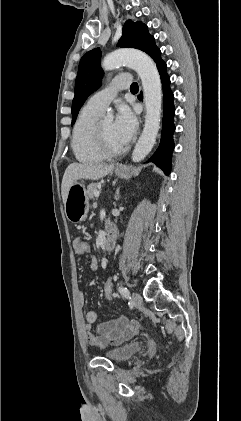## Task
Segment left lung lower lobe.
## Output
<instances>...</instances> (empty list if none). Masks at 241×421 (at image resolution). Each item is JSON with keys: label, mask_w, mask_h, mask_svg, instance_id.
Listing matches in <instances>:
<instances>
[{"label": "left lung lower lobe", "mask_w": 241, "mask_h": 421, "mask_svg": "<svg viewBox=\"0 0 241 421\" xmlns=\"http://www.w3.org/2000/svg\"><path fill=\"white\" fill-rule=\"evenodd\" d=\"M148 55H150L156 62L162 87H163V120H162V133L161 141L158 149L149 159V161L154 162L158 167H160L166 175L170 173L171 168V154L174 149L173 142V132L175 131V126L173 123V117L175 114V108L173 105V93L170 90V78L166 72V63L161 59V52L155 45V40L152 38L147 46L143 50Z\"/></svg>", "instance_id": "left-lung-lower-lobe-1"}]
</instances>
